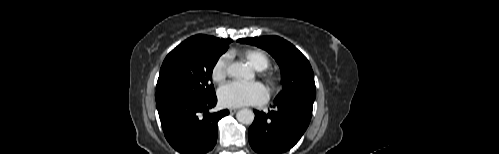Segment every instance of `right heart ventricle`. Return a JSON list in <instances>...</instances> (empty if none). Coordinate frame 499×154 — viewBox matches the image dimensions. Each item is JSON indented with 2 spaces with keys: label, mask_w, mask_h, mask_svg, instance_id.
<instances>
[{
  "label": "right heart ventricle",
  "mask_w": 499,
  "mask_h": 154,
  "mask_svg": "<svg viewBox=\"0 0 499 154\" xmlns=\"http://www.w3.org/2000/svg\"><path fill=\"white\" fill-rule=\"evenodd\" d=\"M243 60L248 61L256 70L262 71L269 67V56L260 49H247L240 53Z\"/></svg>",
  "instance_id": "obj_1"
}]
</instances>
